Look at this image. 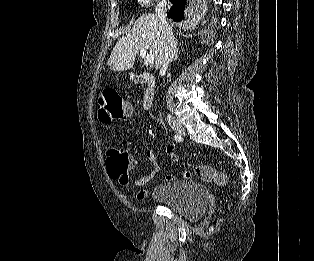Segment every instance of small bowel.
I'll list each match as a JSON object with an SVG mask.
<instances>
[{"mask_svg":"<svg viewBox=\"0 0 314 261\" xmlns=\"http://www.w3.org/2000/svg\"><path fill=\"white\" fill-rule=\"evenodd\" d=\"M165 153L166 155L169 157V159L172 161V162H177L178 158H177V155L175 153V150H174V147L172 145H167L166 148H165ZM146 154V157L147 159L152 163L154 169L153 171L148 174V175H145L141 178H138L136 179L133 184L134 186L136 187H144L146 186L147 184L150 183V181L153 179V177L155 176V174L158 172L159 170V164H158V159L153 151V149L151 148H148L145 152ZM129 158H130V163H131V167H135L136 164H137V161L136 159L129 154ZM167 180H173L174 179V176L173 175H168L166 177ZM137 199L139 200H144L148 197V190L146 189H141L137 192V195H136Z\"/></svg>","mask_w":314,"mask_h":261,"instance_id":"c3829d8e","label":"small bowel"}]
</instances>
